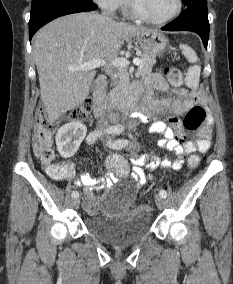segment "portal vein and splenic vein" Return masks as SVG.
Instances as JSON below:
<instances>
[{
	"instance_id": "obj_1",
	"label": "portal vein and splenic vein",
	"mask_w": 233,
	"mask_h": 284,
	"mask_svg": "<svg viewBox=\"0 0 233 284\" xmlns=\"http://www.w3.org/2000/svg\"><path fill=\"white\" fill-rule=\"evenodd\" d=\"M134 65H140L141 59L135 58L133 60ZM111 64L115 67L124 68L129 65V61L125 58H115L111 61ZM106 65V61L100 59H92L88 62L79 65H70L68 69L70 71H92L98 67Z\"/></svg>"
}]
</instances>
